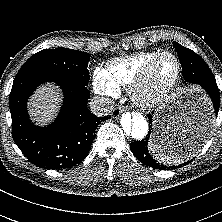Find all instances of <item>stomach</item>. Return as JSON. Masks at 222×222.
Returning <instances> with one entry per match:
<instances>
[{"mask_svg": "<svg viewBox=\"0 0 222 222\" xmlns=\"http://www.w3.org/2000/svg\"><path fill=\"white\" fill-rule=\"evenodd\" d=\"M210 110L207 98L199 89H178L157 109L153 118L152 140L169 147L178 131L192 120L207 116Z\"/></svg>", "mask_w": 222, "mask_h": 222, "instance_id": "0dacf381", "label": "stomach"}]
</instances>
